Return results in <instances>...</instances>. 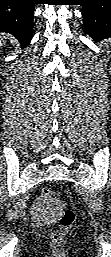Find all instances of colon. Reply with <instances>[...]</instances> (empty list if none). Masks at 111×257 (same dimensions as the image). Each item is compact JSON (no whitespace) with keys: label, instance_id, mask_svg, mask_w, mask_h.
<instances>
[{"label":"colon","instance_id":"colon-1","mask_svg":"<svg viewBox=\"0 0 111 257\" xmlns=\"http://www.w3.org/2000/svg\"><path fill=\"white\" fill-rule=\"evenodd\" d=\"M43 200L52 206V209L55 210L58 218V228L55 230L52 235V241L59 243L63 240L66 233L71 229L75 222V213L72 209L62 207L55 201V193L51 189H44L42 192Z\"/></svg>","mask_w":111,"mask_h":257}]
</instances>
